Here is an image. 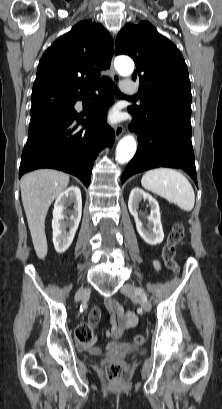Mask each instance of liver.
Returning <instances> with one entry per match:
<instances>
[{
  "mask_svg": "<svg viewBox=\"0 0 222 409\" xmlns=\"http://www.w3.org/2000/svg\"><path fill=\"white\" fill-rule=\"evenodd\" d=\"M69 175L52 170L40 169L24 175L21 179V198L26 213L32 242L39 259L47 255L45 218L54 199L65 190Z\"/></svg>",
  "mask_w": 222,
  "mask_h": 409,
  "instance_id": "6515ba94",
  "label": "liver"
}]
</instances>
